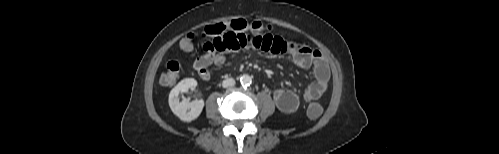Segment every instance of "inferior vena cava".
I'll list each match as a JSON object with an SVG mask.
<instances>
[{
  "mask_svg": "<svg viewBox=\"0 0 499 154\" xmlns=\"http://www.w3.org/2000/svg\"><path fill=\"white\" fill-rule=\"evenodd\" d=\"M235 85V80L233 78H228L223 81L222 86L224 88L231 87Z\"/></svg>",
  "mask_w": 499,
  "mask_h": 154,
  "instance_id": "1",
  "label": "inferior vena cava"
}]
</instances>
